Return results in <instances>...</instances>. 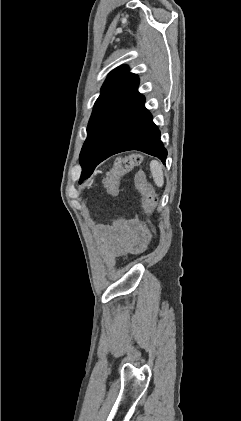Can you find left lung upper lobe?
<instances>
[{"label":"left lung upper lobe","instance_id":"left-lung-upper-lobe-1","mask_svg":"<svg viewBox=\"0 0 241 421\" xmlns=\"http://www.w3.org/2000/svg\"><path fill=\"white\" fill-rule=\"evenodd\" d=\"M139 85V78L127 66L113 70L98 97L87 128V139L80 153L82 168L101 155L123 110Z\"/></svg>","mask_w":241,"mask_h":421}]
</instances>
